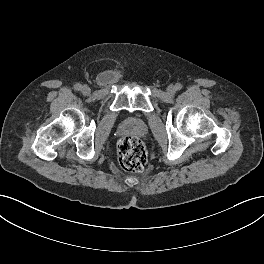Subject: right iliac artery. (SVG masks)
<instances>
[{"label":"right iliac artery","instance_id":"1","mask_svg":"<svg viewBox=\"0 0 264 264\" xmlns=\"http://www.w3.org/2000/svg\"><path fill=\"white\" fill-rule=\"evenodd\" d=\"M81 88H82V86H81L80 83H76V84L74 85V89L77 90V91L81 90Z\"/></svg>","mask_w":264,"mask_h":264}]
</instances>
